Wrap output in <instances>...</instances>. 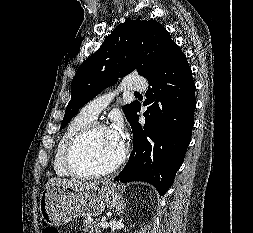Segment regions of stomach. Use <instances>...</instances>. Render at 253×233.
Wrapping results in <instances>:
<instances>
[{"mask_svg":"<svg viewBox=\"0 0 253 233\" xmlns=\"http://www.w3.org/2000/svg\"><path fill=\"white\" fill-rule=\"evenodd\" d=\"M120 201L121 194L111 183L83 191L51 185L41 193L39 210L48 225L60 226L79 216H97L105 207H117Z\"/></svg>","mask_w":253,"mask_h":233,"instance_id":"obj_1","label":"stomach"}]
</instances>
